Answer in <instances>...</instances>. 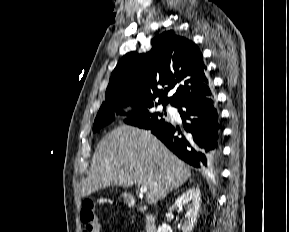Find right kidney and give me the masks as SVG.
<instances>
[{
	"label": "right kidney",
	"mask_w": 289,
	"mask_h": 232,
	"mask_svg": "<svg viewBox=\"0 0 289 232\" xmlns=\"http://www.w3.org/2000/svg\"><path fill=\"white\" fill-rule=\"evenodd\" d=\"M201 203V192L199 188H190L182 195H180L175 203L172 205V209L180 208L187 204V213L185 215V222L182 225V232H191L197 219L198 211ZM157 232H171L170 228L166 225H160Z\"/></svg>",
	"instance_id": "ca27d5eb"
}]
</instances>
